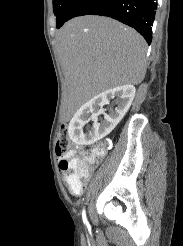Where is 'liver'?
<instances>
[{"instance_id": "1", "label": "liver", "mask_w": 183, "mask_h": 246, "mask_svg": "<svg viewBox=\"0 0 183 246\" xmlns=\"http://www.w3.org/2000/svg\"><path fill=\"white\" fill-rule=\"evenodd\" d=\"M56 47L73 104L117 86L138 85L146 74L145 40L111 18L68 21L56 34Z\"/></svg>"}]
</instances>
